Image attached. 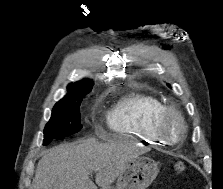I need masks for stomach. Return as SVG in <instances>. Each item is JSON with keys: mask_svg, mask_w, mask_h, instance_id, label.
<instances>
[{"mask_svg": "<svg viewBox=\"0 0 223 189\" xmlns=\"http://www.w3.org/2000/svg\"><path fill=\"white\" fill-rule=\"evenodd\" d=\"M159 172L158 164L148 157H136L118 176L115 186L108 189H146Z\"/></svg>", "mask_w": 223, "mask_h": 189, "instance_id": "stomach-1", "label": "stomach"}]
</instances>
